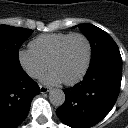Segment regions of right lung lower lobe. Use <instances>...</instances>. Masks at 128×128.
Masks as SVG:
<instances>
[{
	"instance_id": "right-lung-lower-lobe-1",
	"label": "right lung lower lobe",
	"mask_w": 128,
	"mask_h": 128,
	"mask_svg": "<svg viewBox=\"0 0 128 128\" xmlns=\"http://www.w3.org/2000/svg\"><path fill=\"white\" fill-rule=\"evenodd\" d=\"M40 88L21 68L0 63V128H15L28 115Z\"/></svg>"
}]
</instances>
